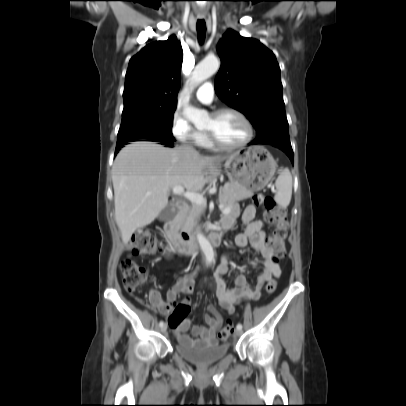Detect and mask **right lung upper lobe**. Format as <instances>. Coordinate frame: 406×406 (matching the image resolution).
Instances as JSON below:
<instances>
[{"instance_id": "obj_1", "label": "right lung upper lobe", "mask_w": 406, "mask_h": 406, "mask_svg": "<svg viewBox=\"0 0 406 406\" xmlns=\"http://www.w3.org/2000/svg\"><path fill=\"white\" fill-rule=\"evenodd\" d=\"M182 61L181 43L175 35L145 46L129 62L123 93L124 108L176 106Z\"/></svg>"}]
</instances>
